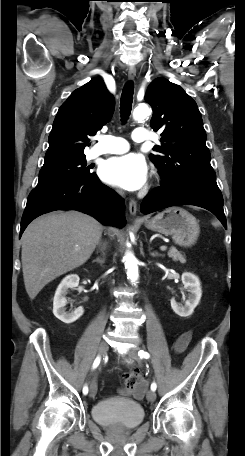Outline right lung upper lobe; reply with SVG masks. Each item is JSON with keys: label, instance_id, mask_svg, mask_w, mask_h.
<instances>
[{"label": "right lung upper lobe", "instance_id": "cb5924a9", "mask_svg": "<svg viewBox=\"0 0 245 456\" xmlns=\"http://www.w3.org/2000/svg\"><path fill=\"white\" fill-rule=\"evenodd\" d=\"M114 98L100 78L76 89L59 108L49 135L43 167L77 159L95 135L112 117Z\"/></svg>", "mask_w": 245, "mask_h": 456}]
</instances>
